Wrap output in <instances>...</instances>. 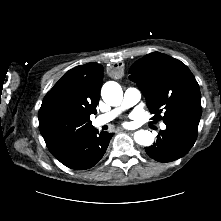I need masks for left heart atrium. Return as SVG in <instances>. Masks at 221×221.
Wrapping results in <instances>:
<instances>
[{
	"mask_svg": "<svg viewBox=\"0 0 221 221\" xmlns=\"http://www.w3.org/2000/svg\"><path fill=\"white\" fill-rule=\"evenodd\" d=\"M124 125L128 126V125H130V123H128V122H125V123H124Z\"/></svg>",
	"mask_w": 221,
	"mask_h": 221,
	"instance_id": "1",
	"label": "left heart atrium"
}]
</instances>
